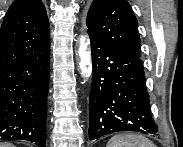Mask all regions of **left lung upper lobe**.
<instances>
[{
  "label": "left lung upper lobe",
  "mask_w": 183,
  "mask_h": 147,
  "mask_svg": "<svg viewBox=\"0 0 183 147\" xmlns=\"http://www.w3.org/2000/svg\"><path fill=\"white\" fill-rule=\"evenodd\" d=\"M86 24L90 36L140 55L138 22L127 0H93Z\"/></svg>",
  "instance_id": "5c2ea615"
}]
</instances>
